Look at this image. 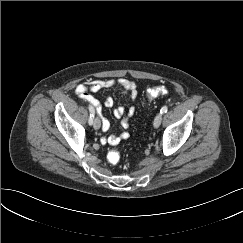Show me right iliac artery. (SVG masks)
I'll list each match as a JSON object with an SVG mask.
<instances>
[{"instance_id":"1","label":"right iliac artery","mask_w":243,"mask_h":243,"mask_svg":"<svg viewBox=\"0 0 243 243\" xmlns=\"http://www.w3.org/2000/svg\"><path fill=\"white\" fill-rule=\"evenodd\" d=\"M89 111H90V117H89V125L93 124V119H94V108L89 105Z\"/></svg>"}]
</instances>
